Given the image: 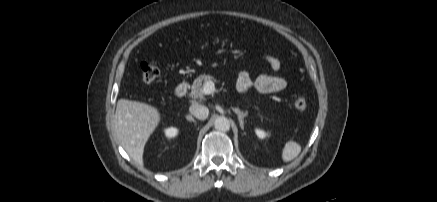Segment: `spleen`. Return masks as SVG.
I'll list each match as a JSON object with an SVG mask.
<instances>
[{
	"label": "spleen",
	"instance_id": "spleen-1",
	"mask_svg": "<svg viewBox=\"0 0 437 202\" xmlns=\"http://www.w3.org/2000/svg\"><path fill=\"white\" fill-rule=\"evenodd\" d=\"M301 152V146L294 141L286 142L282 151V160L284 162H289L295 159Z\"/></svg>",
	"mask_w": 437,
	"mask_h": 202
}]
</instances>
